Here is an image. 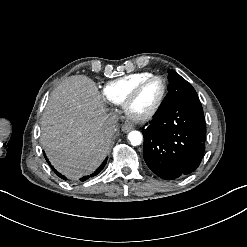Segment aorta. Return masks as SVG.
Masks as SVG:
<instances>
[{"label": "aorta", "mask_w": 247, "mask_h": 247, "mask_svg": "<svg viewBox=\"0 0 247 247\" xmlns=\"http://www.w3.org/2000/svg\"><path fill=\"white\" fill-rule=\"evenodd\" d=\"M128 139L133 146H137L141 144L143 136L139 131H131L128 134Z\"/></svg>", "instance_id": "1"}]
</instances>
